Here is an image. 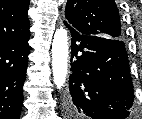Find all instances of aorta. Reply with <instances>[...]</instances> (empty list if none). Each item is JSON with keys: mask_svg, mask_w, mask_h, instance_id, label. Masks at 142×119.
I'll use <instances>...</instances> for the list:
<instances>
[{"mask_svg": "<svg viewBox=\"0 0 142 119\" xmlns=\"http://www.w3.org/2000/svg\"><path fill=\"white\" fill-rule=\"evenodd\" d=\"M68 34L64 28L57 29L52 42V72L54 84L60 89L68 73Z\"/></svg>", "mask_w": 142, "mask_h": 119, "instance_id": "obj_1", "label": "aorta"}]
</instances>
